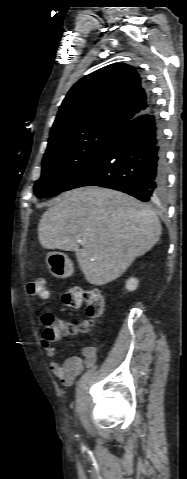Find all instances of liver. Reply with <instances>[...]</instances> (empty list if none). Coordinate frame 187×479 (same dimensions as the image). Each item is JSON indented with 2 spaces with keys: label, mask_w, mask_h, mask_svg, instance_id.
<instances>
[{
  "label": "liver",
  "mask_w": 187,
  "mask_h": 479,
  "mask_svg": "<svg viewBox=\"0 0 187 479\" xmlns=\"http://www.w3.org/2000/svg\"><path fill=\"white\" fill-rule=\"evenodd\" d=\"M160 236L159 218L145 204L93 186L56 197L38 225L42 247L74 251L86 280L97 286L120 277Z\"/></svg>",
  "instance_id": "1"
}]
</instances>
